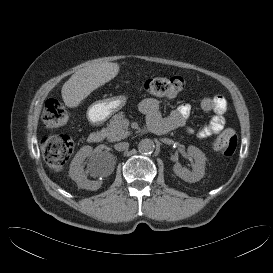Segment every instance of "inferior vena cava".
Returning a JSON list of instances; mask_svg holds the SVG:
<instances>
[{
  "instance_id": "inferior-vena-cava-1",
  "label": "inferior vena cava",
  "mask_w": 273,
  "mask_h": 273,
  "mask_svg": "<svg viewBox=\"0 0 273 273\" xmlns=\"http://www.w3.org/2000/svg\"><path fill=\"white\" fill-rule=\"evenodd\" d=\"M129 147V143L128 142H120L114 145L115 150L117 151H124L127 150Z\"/></svg>"
}]
</instances>
